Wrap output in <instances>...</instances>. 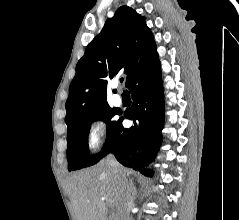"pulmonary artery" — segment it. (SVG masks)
Returning a JSON list of instances; mask_svg holds the SVG:
<instances>
[{"label":"pulmonary artery","mask_w":239,"mask_h":220,"mask_svg":"<svg viewBox=\"0 0 239 220\" xmlns=\"http://www.w3.org/2000/svg\"><path fill=\"white\" fill-rule=\"evenodd\" d=\"M112 102H113L114 105H117V106L120 105L122 103L121 96L118 95V94L113 95L112 96Z\"/></svg>","instance_id":"1"}]
</instances>
